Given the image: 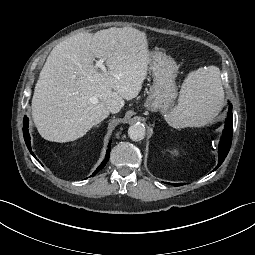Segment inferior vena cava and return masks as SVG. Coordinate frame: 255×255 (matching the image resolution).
<instances>
[{"label":"inferior vena cava","instance_id":"1","mask_svg":"<svg viewBox=\"0 0 255 255\" xmlns=\"http://www.w3.org/2000/svg\"><path fill=\"white\" fill-rule=\"evenodd\" d=\"M105 105H106L107 109L109 110V112H111V113H118L121 109V105L115 99L107 100L105 102Z\"/></svg>","mask_w":255,"mask_h":255}]
</instances>
